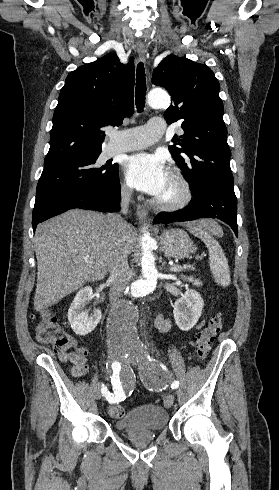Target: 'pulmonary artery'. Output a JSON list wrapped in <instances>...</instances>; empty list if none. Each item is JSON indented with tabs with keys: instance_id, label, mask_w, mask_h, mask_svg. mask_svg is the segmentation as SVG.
Wrapping results in <instances>:
<instances>
[{
	"instance_id": "1",
	"label": "pulmonary artery",
	"mask_w": 279,
	"mask_h": 490,
	"mask_svg": "<svg viewBox=\"0 0 279 490\" xmlns=\"http://www.w3.org/2000/svg\"><path fill=\"white\" fill-rule=\"evenodd\" d=\"M149 126L135 128H112L111 144L108 152L118 154L145 148L153 144L165 130L166 125L162 117H148Z\"/></svg>"
}]
</instances>
